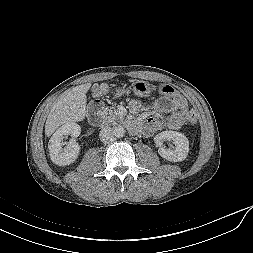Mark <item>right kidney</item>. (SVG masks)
<instances>
[{"label": "right kidney", "mask_w": 253, "mask_h": 253, "mask_svg": "<svg viewBox=\"0 0 253 253\" xmlns=\"http://www.w3.org/2000/svg\"><path fill=\"white\" fill-rule=\"evenodd\" d=\"M81 128L76 123H66L61 126L53 134L49 140L48 148L49 155L53 163L59 166L70 165L75 162L80 153V146L72 139L67 147H62V140L65 135L71 134L73 137H78Z\"/></svg>", "instance_id": "ca27d5eb"}]
</instances>
